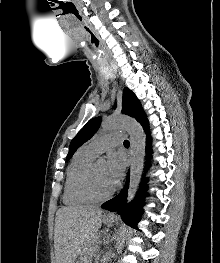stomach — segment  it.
Returning <instances> with one entry per match:
<instances>
[{"label":"stomach","instance_id":"obj_1","mask_svg":"<svg viewBox=\"0 0 220 263\" xmlns=\"http://www.w3.org/2000/svg\"><path fill=\"white\" fill-rule=\"evenodd\" d=\"M113 221H114L113 218H106V217L103 218V222L107 225H111ZM76 263H80V262L77 261Z\"/></svg>","mask_w":220,"mask_h":263}]
</instances>
